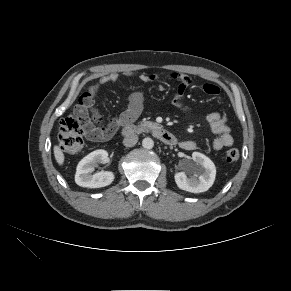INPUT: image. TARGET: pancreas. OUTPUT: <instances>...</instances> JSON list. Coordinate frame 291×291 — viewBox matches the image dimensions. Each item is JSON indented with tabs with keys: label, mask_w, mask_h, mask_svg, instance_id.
I'll use <instances>...</instances> for the list:
<instances>
[{
	"label": "pancreas",
	"mask_w": 291,
	"mask_h": 291,
	"mask_svg": "<svg viewBox=\"0 0 291 291\" xmlns=\"http://www.w3.org/2000/svg\"><path fill=\"white\" fill-rule=\"evenodd\" d=\"M140 125H141V127H146V126H151L152 123L149 121H146V122H142Z\"/></svg>",
	"instance_id": "pancreas-1"
}]
</instances>
